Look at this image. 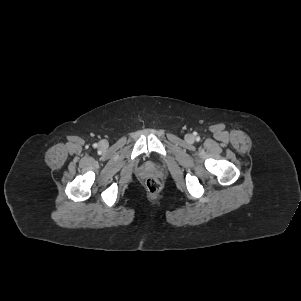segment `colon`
Segmentation results:
<instances>
[{
    "mask_svg": "<svg viewBox=\"0 0 301 301\" xmlns=\"http://www.w3.org/2000/svg\"><path fill=\"white\" fill-rule=\"evenodd\" d=\"M146 189L152 194H156L161 190V183L154 178H149L145 182Z\"/></svg>",
    "mask_w": 301,
    "mask_h": 301,
    "instance_id": "1",
    "label": "colon"
}]
</instances>
